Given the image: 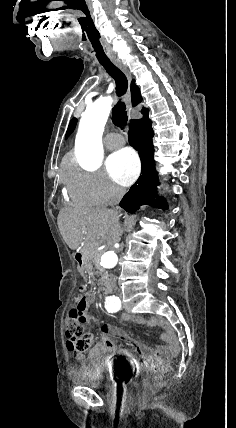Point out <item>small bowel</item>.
<instances>
[{"label": "small bowel", "mask_w": 236, "mask_h": 428, "mask_svg": "<svg viewBox=\"0 0 236 428\" xmlns=\"http://www.w3.org/2000/svg\"><path fill=\"white\" fill-rule=\"evenodd\" d=\"M121 318L124 321H129L140 326L162 328L164 331L162 338L166 342V345L158 347L155 350H150L145 345L136 343L135 345L140 355V357H138L129 350L117 348L110 338V336L113 335L118 338L126 339V336L120 329L103 325L101 327V341L90 350L89 358L91 360L111 359L116 355H120L125 357L133 366L140 367L144 364L147 367L156 368L162 366L169 356L178 349L175 330L166 319L161 317H136L127 313L122 314ZM75 359L79 362H83L85 358L82 354L76 353Z\"/></svg>", "instance_id": "small-bowel-1"}]
</instances>
